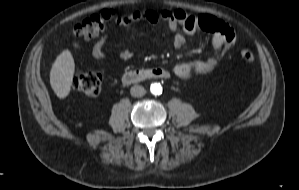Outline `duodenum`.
Segmentation results:
<instances>
[{
  "mask_svg": "<svg viewBox=\"0 0 299 190\" xmlns=\"http://www.w3.org/2000/svg\"><path fill=\"white\" fill-rule=\"evenodd\" d=\"M169 77V72L164 68H140L126 72L122 76V81L125 84H135L146 79H166Z\"/></svg>",
  "mask_w": 299,
  "mask_h": 190,
  "instance_id": "duodenum-1",
  "label": "duodenum"
}]
</instances>
